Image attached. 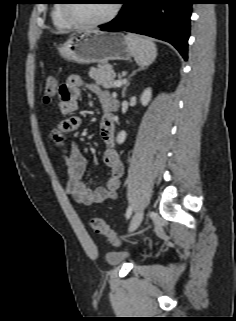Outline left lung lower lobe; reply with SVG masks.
Returning <instances> with one entry per match:
<instances>
[{
  "mask_svg": "<svg viewBox=\"0 0 236 321\" xmlns=\"http://www.w3.org/2000/svg\"><path fill=\"white\" fill-rule=\"evenodd\" d=\"M124 7L102 31H128L172 44L187 60L193 0H122Z\"/></svg>",
  "mask_w": 236,
  "mask_h": 321,
  "instance_id": "obj_1",
  "label": "left lung lower lobe"
}]
</instances>
